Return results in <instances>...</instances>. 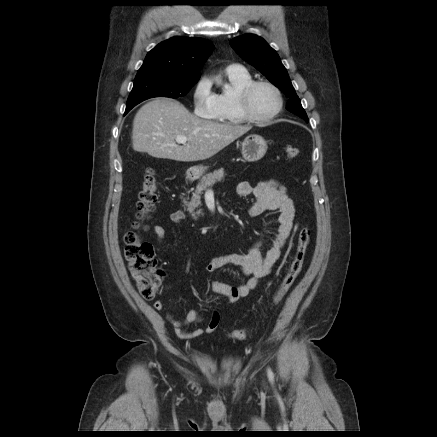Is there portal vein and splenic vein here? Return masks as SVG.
Here are the masks:
<instances>
[{
  "label": "portal vein and splenic vein",
  "mask_w": 437,
  "mask_h": 437,
  "mask_svg": "<svg viewBox=\"0 0 437 437\" xmlns=\"http://www.w3.org/2000/svg\"><path fill=\"white\" fill-rule=\"evenodd\" d=\"M176 142L177 143H179V144H186V142H187V137H185V136H182V135H178L177 137H176Z\"/></svg>",
  "instance_id": "18ae733b"
}]
</instances>
